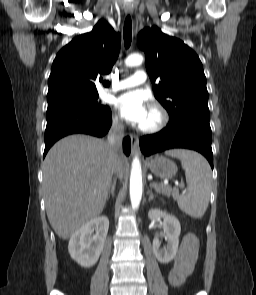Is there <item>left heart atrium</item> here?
I'll list each match as a JSON object with an SVG mask.
<instances>
[{
	"mask_svg": "<svg viewBox=\"0 0 256 295\" xmlns=\"http://www.w3.org/2000/svg\"><path fill=\"white\" fill-rule=\"evenodd\" d=\"M115 106L127 121L138 126L143 125L150 112L146 96L136 91L120 95Z\"/></svg>",
	"mask_w": 256,
	"mask_h": 295,
	"instance_id": "obj_1",
	"label": "left heart atrium"
}]
</instances>
